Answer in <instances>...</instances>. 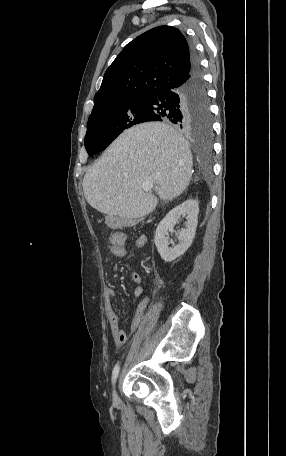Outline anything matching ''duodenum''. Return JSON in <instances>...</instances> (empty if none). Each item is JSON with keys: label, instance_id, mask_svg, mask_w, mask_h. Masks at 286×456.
I'll list each match as a JSON object with an SVG mask.
<instances>
[{"label": "duodenum", "instance_id": "obj_1", "mask_svg": "<svg viewBox=\"0 0 286 456\" xmlns=\"http://www.w3.org/2000/svg\"><path fill=\"white\" fill-rule=\"evenodd\" d=\"M123 225L134 223L133 218H120L119 219Z\"/></svg>", "mask_w": 286, "mask_h": 456}]
</instances>
